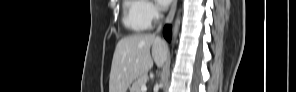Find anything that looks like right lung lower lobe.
<instances>
[{
  "mask_svg": "<svg viewBox=\"0 0 296 92\" xmlns=\"http://www.w3.org/2000/svg\"><path fill=\"white\" fill-rule=\"evenodd\" d=\"M163 34H164V37L168 41H170V39H171V26H169V25L165 26Z\"/></svg>",
  "mask_w": 296,
  "mask_h": 92,
  "instance_id": "right-lung-lower-lobe-1",
  "label": "right lung lower lobe"
}]
</instances>
